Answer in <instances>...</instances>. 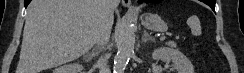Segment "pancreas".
<instances>
[{"label":"pancreas","mask_w":244,"mask_h":73,"mask_svg":"<svg viewBox=\"0 0 244 73\" xmlns=\"http://www.w3.org/2000/svg\"><path fill=\"white\" fill-rule=\"evenodd\" d=\"M167 44H168V46H171V47H176L177 46L176 43L172 42V41L168 42Z\"/></svg>","instance_id":"pancreas-1"}]
</instances>
